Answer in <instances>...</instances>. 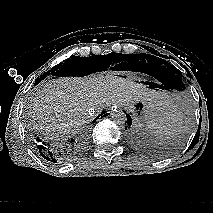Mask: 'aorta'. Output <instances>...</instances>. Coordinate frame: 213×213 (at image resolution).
<instances>
[{"instance_id":"aorta-1","label":"aorta","mask_w":213,"mask_h":213,"mask_svg":"<svg viewBox=\"0 0 213 213\" xmlns=\"http://www.w3.org/2000/svg\"><path fill=\"white\" fill-rule=\"evenodd\" d=\"M113 122L117 125H124L127 121L126 114L122 110H116L111 114Z\"/></svg>"}]
</instances>
